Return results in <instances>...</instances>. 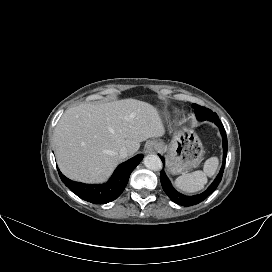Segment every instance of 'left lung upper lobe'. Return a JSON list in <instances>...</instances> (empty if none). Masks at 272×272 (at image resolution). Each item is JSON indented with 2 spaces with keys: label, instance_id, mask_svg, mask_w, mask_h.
Masks as SVG:
<instances>
[{
  "label": "left lung upper lobe",
  "instance_id": "5c2ea615",
  "mask_svg": "<svg viewBox=\"0 0 272 272\" xmlns=\"http://www.w3.org/2000/svg\"><path fill=\"white\" fill-rule=\"evenodd\" d=\"M193 108L195 109V114L198 120H209L213 117H216L217 114L212 112L210 109L202 107L198 104H192Z\"/></svg>",
  "mask_w": 272,
  "mask_h": 272
}]
</instances>
